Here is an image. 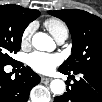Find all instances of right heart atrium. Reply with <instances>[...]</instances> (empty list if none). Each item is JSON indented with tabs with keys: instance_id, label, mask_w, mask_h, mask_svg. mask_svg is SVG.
Instances as JSON below:
<instances>
[{
	"instance_id": "d8ad5b80",
	"label": "right heart atrium",
	"mask_w": 102,
	"mask_h": 102,
	"mask_svg": "<svg viewBox=\"0 0 102 102\" xmlns=\"http://www.w3.org/2000/svg\"><path fill=\"white\" fill-rule=\"evenodd\" d=\"M34 32V24H29L22 33V42L27 43L30 41L31 36Z\"/></svg>"
}]
</instances>
